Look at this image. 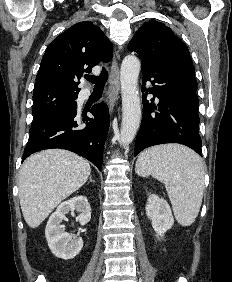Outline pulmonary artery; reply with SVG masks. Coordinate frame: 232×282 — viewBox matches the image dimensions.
<instances>
[{
  "label": "pulmonary artery",
  "mask_w": 232,
  "mask_h": 282,
  "mask_svg": "<svg viewBox=\"0 0 232 282\" xmlns=\"http://www.w3.org/2000/svg\"><path fill=\"white\" fill-rule=\"evenodd\" d=\"M83 96H84V97H85V96H87V93H86V92H84V93H83Z\"/></svg>",
  "instance_id": "1"
}]
</instances>
